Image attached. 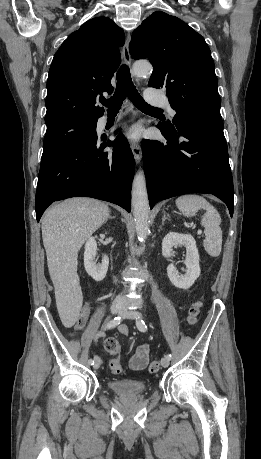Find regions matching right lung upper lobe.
<instances>
[{"instance_id":"1","label":"right lung upper lobe","mask_w":261,"mask_h":459,"mask_svg":"<svg viewBox=\"0 0 261 459\" xmlns=\"http://www.w3.org/2000/svg\"><path fill=\"white\" fill-rule=\"evenodd\" d=\"M125 35L109 18H94L73 32L56 52L47 80V127L65 120H97L102 92L111 93V78L121 58Z\"/></svg>"}]
</instances>
